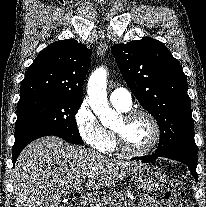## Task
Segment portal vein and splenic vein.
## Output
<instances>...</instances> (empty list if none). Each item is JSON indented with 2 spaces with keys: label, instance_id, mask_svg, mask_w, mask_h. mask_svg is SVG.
<instances>
[{
  "label": "portal vein and splenic vein",
  "instance_id": "1",
  "mask_svg": "<svg viewBox=\"0 0 206 207\" xmlns=\"http://www.w3.org/2000/svg\"><path fill=\"white\" fill-rule=\"evenodd\" d=\"M74 189L79 191V190L81 189V185H76V186L74 187Z\"/></svg>",
  "mask_w": 206,
  "mask_h": 207
}]
</instances>
